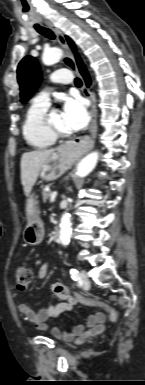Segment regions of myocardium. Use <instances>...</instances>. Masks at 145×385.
I'll use <instances>...</instances> for the list:
<instances>
[{
  "mask_svg": "<svg viewBox=\"0 0 145 385\" xmlns=\"http://www.w3.org/2000/svg\"><path fill=\"white\" fill-rule=\"evenodd\" d=\"M50 115L51 113H46L45 117H44V120H43V124H44V128L45 130L54 138V139H65V138H69L71 136L70 133H64V132H61L59 130H57L56 128H54L50 122Z\"/></svg>",
  "mask_w": 145,
  "mask_h": 385,
  "instance_id": "myocardium-1",
  "label": "myocardium"
}]
</instances>
